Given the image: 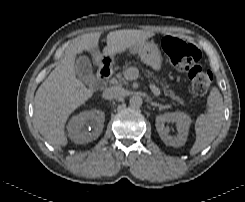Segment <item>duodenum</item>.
<instances>
[{
	"instance_id": "1",
	"label": "duodenum",
	"mask_w": 245,
	"mask_h": 202,
	"mask_svg": "<svg viewBox=\"0 0 245 202\" xmlns=\"http://www.w3.org/2000/svg\"><path fill=\"white\" fill-rule=\"evenodd\" d=\"M111 77L110 59L103 55L97 70V82L100 87H105Z\"/></svg>"
}]
</instances>
